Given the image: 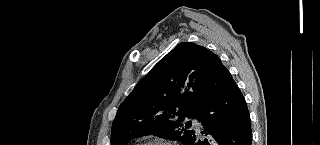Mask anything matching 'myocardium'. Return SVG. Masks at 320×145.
Returning <instances> with one entry per match:
<instances>
[{
    "label": "myocardium",
    "mask_w": 320,
    "mask_h": 145,
    "mask_svg": "<svg viewBox=\"0 0 320 145\" xmlns=\"http://www.w3.org/2000/svg\"><path fill=\"white\" fill-rule=\"evenodd\" d=\"M141 145H171V144L168 142H164V141H148V142H145Z\"/></svg>",
    "instance_id": "obj_1"
}]
</instances>
